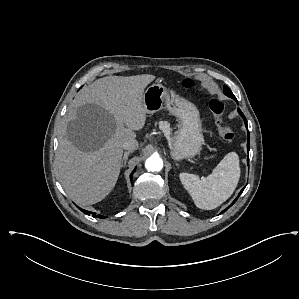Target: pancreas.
<instances>
[{
	"instance_id": "obj_1",
	"label": "pancreas",
	"mask_w": 299,
	"mask_h": 299,
	"mask_svg": "<svg viewBox=\"0 0 299 299\" xmlns=\"http://www.w3.org/2000/svg\"><path fill=\"white\" fill-rule=\"evenodd\" d=\"M159 129L163 131L166 137H169L172 134V129L170 128V124L167 121H160Z\"/></svg>"
}]
</instances>
